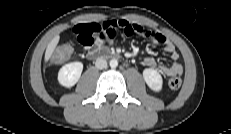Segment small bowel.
<instances>
[{"label": "small bowel", "instance_id": "c3829d8e", "mask_svg": "<svg viewBox=\"0 0 231 134\" xmlns=\"http://www.w3.org/2000/svg\"><path fill=\"white\" fill-rule=\"evenodd\" d=\"M121 29L128 36L140 35L151 40L155 44L162 45L164 50L170 54L172 63L168 66H159V70L166 76L181 75L183 66L180 62L179 53L175 44L162 33L151 30L143 25L127 20H108L103 23H83L73 27L72 33L74 41L80 43L86 50L92 47L99 48L103 43H113L117 30ZM144 63L149 67H156L154 58L146 57Z\"/></svg>", "mask_w": 231, "mask_h": 134}]
</instances>
